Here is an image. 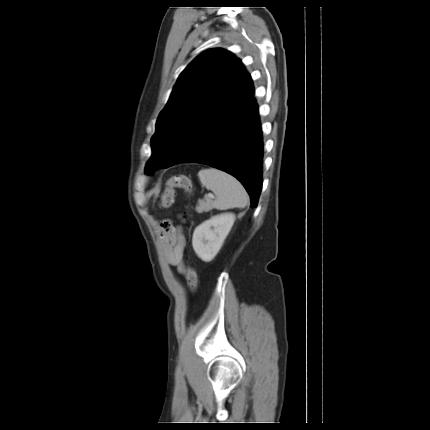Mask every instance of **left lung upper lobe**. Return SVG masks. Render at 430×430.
I'll return each instance as SVG.
<instances>
[{
  "mask_svg": "<svg viewBox=\"0 0 430 430\" xmlns=\"http://www.w3.org/2000/svg\"><path fill=\"white\" fill-rule=\"evenodd\" d=\"M253 95L250 75L232 53L210 49L200 54L181 73L159 115L145 173L150 175L185 149L195 128L208 117L234 116Z\"/></svg>",
  "mask_w": 430,
  "mask_h": 430,
  "instance_id": "left-lung-upper-lobe-1",
  "label": "left lung upper lobe"
}]
</instances>
